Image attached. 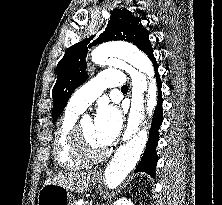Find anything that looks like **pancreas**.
<instances>
[{
    "mask_svg": "<svg viewBox=\"0 0 222 205\" xmlns=\"http://www.w3.org/2000/svg\"><path fill=\"white\" fill-rule=\"evenodd\" d=\"M73 205H77L76 203ZM81 205H88V202H83Z\"/></svg>",
    "mask_w": 222,
    "mask_h": 205,
    "instance_id": "obj_1",
    "label": "pancreas"
}]
</instances>
